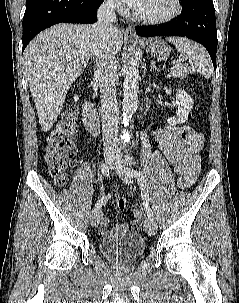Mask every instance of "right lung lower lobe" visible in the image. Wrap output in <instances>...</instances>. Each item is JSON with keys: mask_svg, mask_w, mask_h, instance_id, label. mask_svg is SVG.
<instances>
[{"mask_svg": "<svg viewBox=\"0 0 239 303\" xmlns=\"http://www.w3.org/2000/svg\"><path fill=\"white\" fill-rule=\"evenodd\" d=\"M103 0H26L23 48L42 30L61 22L94 23Z\"/></svg>", "mask_w": 239, "mask_h": 303, "instance_id": "98d812e1", "label": "right lung lower lobe"}]
</instances>
